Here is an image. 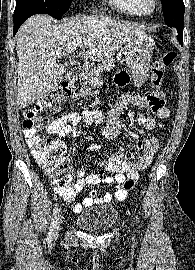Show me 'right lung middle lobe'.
Returning <instances> with one entry per match:
<instances>
[{"mask_svg": "<svg viewBox=\"0 0 195 270\" xmlns=\"http://www.w3.org/2000/svg\"><path fill=\"white\" fill-rule=\"evenodd\" d=\"M72 0H16V7H31L56 19L69 9Z\"/></svg>", "mask_w": 195, "mask_h": 270, "instance_id": "right-lung-middle-lobe-1", "label": "right lung middle lobe"}]
</instances>
